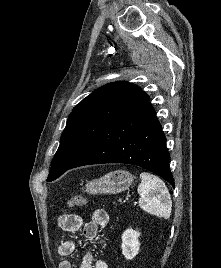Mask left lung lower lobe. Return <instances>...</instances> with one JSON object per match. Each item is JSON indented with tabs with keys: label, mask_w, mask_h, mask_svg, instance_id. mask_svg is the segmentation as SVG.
Wrapping results in <instances>:
<instances>
[{
	"label": "left lung lower lobe",
	"mask_w": 221,
	"mask_h": 268,
	"mask_svg": "<svg viewBox=\"0 0 221 268\" xmlns=\"http://www.w3.org/2000/svg\"><path fill=\"white\" fill-rule=\"evenodd\" d=\"M169 157L162 126L147 101L111 123L68 169L102 163L133 164L174 186Z\"/></svg>",
	"instance_id": "1"
}]
</instances>
